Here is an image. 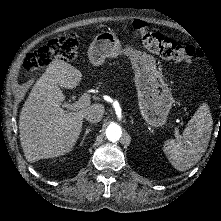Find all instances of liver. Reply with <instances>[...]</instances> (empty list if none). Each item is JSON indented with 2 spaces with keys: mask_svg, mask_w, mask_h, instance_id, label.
<instances>
[{
  "mask_svg": "<svg viewBox=\"0 0 221 221\" xmlns=\"http://www.w3.org/2000/svg\"><path fill=\"white\" fill-rule=\"evenodd\" d=\"M81 80L78 69L54 60L32 87L19 116V136L28 162L69 153L79 139L85 114L105 111L99 103L75 112L61 108L65 100L61 88L74 89Z\"/></svg>",
  "mask_w": 221,
  "mask_h": 221,
  "instance_id": "obj_1",
  "label": "liver"
}]
</instances>
